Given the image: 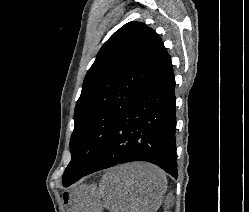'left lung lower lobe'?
<instances>
[{
	"mask_svg": "<svg viewBox=\"0 0 249 212\" xmlns=\"http://www.w3.org/2000/svg\"><path fill=\"white\" fill-rule=\"evenodd\" d=\"M174 89L175 78L168 55L126 108L99 157L83 176L119 163L147 161L176 178Z\"/></svg>",
	"mask_w": 249,
	"mask_h": 212,
	"instance_id": "1",
	"label": "left lung lower lobe"
}]
</instances>
